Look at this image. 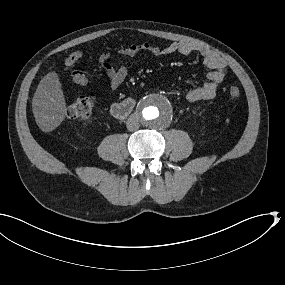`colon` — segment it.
I'll return each instance as SVG.
<instances>
[{"instance_id": "colon-1", "label": "colon", "mask_w": 285, "mask_h": 285, "mask_svg": "<svg viewBox=\"0 0 285 285\" xmlns=\"http://www.w3.org/2000/svg\"><path fill=\"white\" fill-rule=\"evenodd\" d=\"M82 57V52L80 50L73 51L66 59V65L72 68L70 73V80L78 85H83L86 83L85 73L79 69L75 68L76 63ZM229 95L231 98L236 99L240 96V90L237 87H231L229 89ZM94 105V95L81 96L74 100L67 109V115L71 119L86 120L90 118L93 111Z\"/></svg>"}]
</instances>
